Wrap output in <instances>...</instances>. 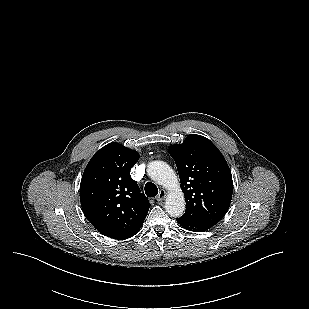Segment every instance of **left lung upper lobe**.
<instances>
[{
  "instance_id": "obj_1",
  "label": "left lung upper lobe",
  "mask_w": 309,
  "mask_h": 309,
  "mask_svg": "<svg viewBox=\"0 0 309 309\" xmlns=\"http://www.w3.org/2000/svg\"><path fill=\"white\" fill-rule=\"evenodd\" d=\"M185 195L183 216L214 226L229 209L233 181L219 149L207 138L191 134L169 147Z\"/></svg>"
}]
</instances>
